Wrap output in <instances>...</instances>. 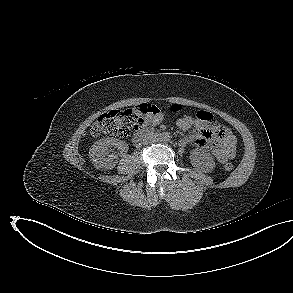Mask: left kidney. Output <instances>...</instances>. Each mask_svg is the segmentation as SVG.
Instances as JSON below:
<instances>
[{"label":"left kidney","instance_id":"left-kidney-1","mask_svg":"<svg viewBox=\"0 0 293 293\" xmlns=\"http://www.w3.org/2000/svg\"><path fill=\"white\" fill-rule=\"evenodd\" d=\"M191 164L202 172H211L216 164L213 156L206 150L195 149L190 155Z\"/></svg>","mask_w":293,"mask_h":293}]
</instances>
